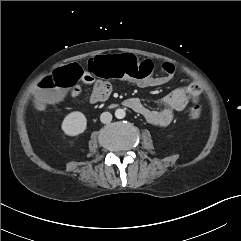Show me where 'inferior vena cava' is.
Returning a JSON list of instances; mask_svg holds the SVG:
<instances>
[{
    "instance_id": "obj_1",
    "label": "inferior vena cava",
    "mask_w": 241,
    "mask_h": 241,
    "mask_svg": "<svg viewBox=\"0 0 241 241\" xmlns=\"http://www.w3.org/2000/svg\"><path fill=\"white\" fill-rule=\"evenodd\" d=\"M112 120V114L109 113V112H103L101 115H100V121L102 123H109L111 122Z\"/></svg>"
}]
</instances>
